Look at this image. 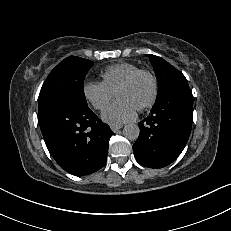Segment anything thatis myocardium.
<instances>
[{"mask_svg": "<svg viewBox=\"0 0 231 231\" xmlns=\"http://www.w3.org/2000/svg\"><path fill=\"white\" fill-rule=\"evenodd\" d=\"M140 76H147L152 84V91L151 95L148 98V100L142 104L137 110L138 111H144L152 107L158 97V92H159V85H158V80L155 76V74L148 70V69H138L132 74H130L121 84L117 87L115 91V95L117 92L123 88L131 86Z\"/></svg>", "mask_w": 231, "mask_h": 231, "instance_id": "f54148a6", "label": "myocardium"}]
</instances>
